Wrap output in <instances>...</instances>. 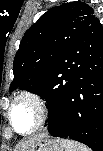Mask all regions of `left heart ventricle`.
I'll return each instance as SVG.
<instances>
[{
	"instance_id": "obj_1",
	"label": "left heart ventricle",
	"mask_w": 103,
	"mask_h": 151,
	"mask_svg": "<svg viewBox=\"0 0 103 151\" xmlns=\"http://www.w3.org/2000/svg\"><path fill=\"white\" fill-rule=\"evenodd\" d=\"M12 120L15 128L20 132H26L33 128L37 120L36 109L28 101H20L12 110Z\"/></svg>"
}]
</instances>
